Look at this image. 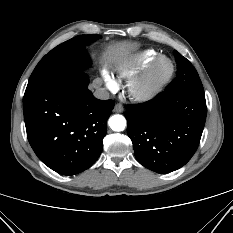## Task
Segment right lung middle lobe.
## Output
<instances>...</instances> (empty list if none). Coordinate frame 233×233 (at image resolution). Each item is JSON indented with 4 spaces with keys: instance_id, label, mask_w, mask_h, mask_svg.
<instances>
[{
    "instance_id": "right-lung-middle-lobe-1",
    "label": "right lung middle lobe",
    "mask_w": 233,
    "mask_h": 233,
    "mask_svg": "<svg viewBox=\"0 0 233 233\" xmlns=\"http://www.w3.org/2000/svg\"><path fill=\"white\" fill-rule=\"evenodd\" d=\"M99 37L96 34L79 35L51 50L35 67L25 94L39 89L56 78L80 72L89 64V57L85 54V45Z\"/></svg>"
}]
</instances>
